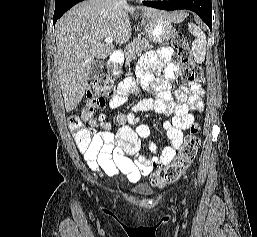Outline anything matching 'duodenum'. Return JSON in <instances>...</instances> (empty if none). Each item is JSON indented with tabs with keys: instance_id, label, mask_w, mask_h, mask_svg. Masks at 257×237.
<instances>
[{
	"instance_id": "obj_1",
	"label": "duodenum",
	"mask_w": 257,
	"mask_h": 237,
	"mask_svg": "<svg viewBox=\"0 0 257 237\" xmlns=\"http://www.w3.org/2000/svg\"><path fill=\"white\" fill-rule=\"evenodd\" d=\"M118 58H119L118 56H115V58L113 59V62H114V63H117V62H118ZM113 67H114V66H112V68H113Z\"/></svg>"
}]
</instances>
